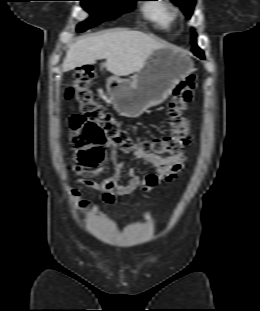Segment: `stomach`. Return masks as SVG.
<instances>
[{
	"instance_id": "0dacf381",
	"label": "stomach",
	"mask_w": 260,
	"mask_h": 311,
	"mask_svg": "<svg viewBox=\"0 0 260 311\" xmlns=\"http://www.w3.org/2000/svg\"><path fill=\"white\" fill-rule=\"evenodd\" d=\"M194 72L193 60L173 46L155 49L132 80L117 75L107 79V93L116 111L136 118L152 106L164 102L174 87Z\"/></svg>"
}]
</instances>
